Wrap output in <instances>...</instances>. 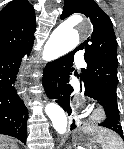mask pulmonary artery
Masks as SVG:
<instances>
[{
	"instance_id": "1",
	"label": "pulmonary artery",
	"mask_w": 124,
	"mask_h": 149,
	"mask_svg": "<svg viewBox=\"0 0 124 149\" xmlns=\"http://www.w3.org/2000/svg\"><path fill=\"white\" fill-rule=\"evenodd\" d=\"M76 61L78 62L79 66H84V60H83V56L80 53H76L75 55Z\"/></svg>"
}]
</instances>
